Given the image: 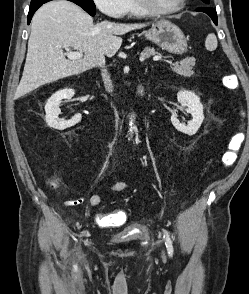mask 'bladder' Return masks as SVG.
<instances>
[{"mask_svg":"<svg viewBox=\"0 0 249 294\" xmlns=\"http://www.w3.org/2000/svg\"><path fill=\"white\" fill-rule=\"evenodd\" d=\"M134 228L138 229L139 232L132 233L130 231H124L120 234L115 235L112 239L117 243H131L136 241H145L149 239V233L146 229H142L141 225L137 224Z\"/></svg>","mask_w":249,"mask_h":294,"instance_id":"31cf9c89","label":"bladder"}]
</instances>
